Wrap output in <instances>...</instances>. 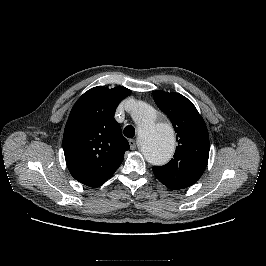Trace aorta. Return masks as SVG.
<instances>
[{
    "instance_id": "aorta-1",
    "label": "aorta",
    "mask_w": 266,
    "mask_h": 266,
    "mask_svg": "<svg viewBox=\"0 0 266 266\" xmlns=\"http://www.w3.org/2000/svg\"><path fill=\"white\" fill-rule=\"evenodd\" d=\"M131 115L138 127L141 151L151 164L166 163L174 152V131L170 124L159 120L156 110L142 101H135Z\"/></svg>"
}]
</instances>
